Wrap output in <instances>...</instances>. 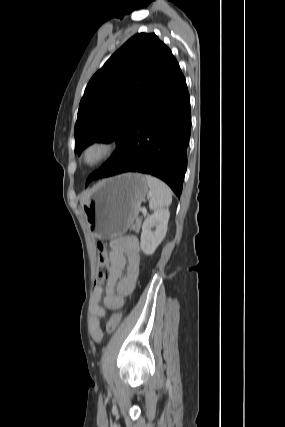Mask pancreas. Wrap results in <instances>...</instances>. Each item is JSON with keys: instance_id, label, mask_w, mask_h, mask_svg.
Returning <instances> with one entry per match:
<instances>
[{"instance_id": "pancreas-1", "label": "pancreas", "mask_w": 285, "mask_h": 427, "mask_svg": "<svg viewBox=\"0 0 285 427\" xmlns=\"http://www.w3.org/2000/svg\"><path fill=\"white\" fill-rule=\"evenodd\" d=\"M140 225H141V220L137 219L135 224H133L132 229L137 231L140 228Z\"/></svg>"}]
</instances>
